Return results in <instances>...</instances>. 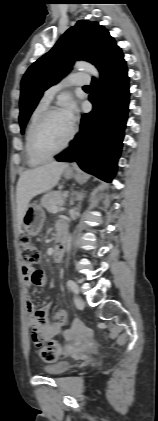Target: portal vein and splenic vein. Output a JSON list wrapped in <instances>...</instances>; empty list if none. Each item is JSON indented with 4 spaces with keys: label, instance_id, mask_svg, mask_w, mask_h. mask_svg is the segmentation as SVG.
Wrapping results in <instances>:
<instances>
[{
    "label": "portal vein and splenic vein",
    "instance_id": "obj_1",
    "mask_svg": "<svg viewBox=\"0 0 158 421\" xmlns=\"http://www.w3.org/2000/svg\"><path fill=\"white\" fill-rule=\"evenodd\" d=\"M58 210H59V208H58V207H54V208L52 209V212H53V213H56V212H58Z\"/></svg>",
    "mask_w": 158,
    "mask_h": 421
}]
</instances>
